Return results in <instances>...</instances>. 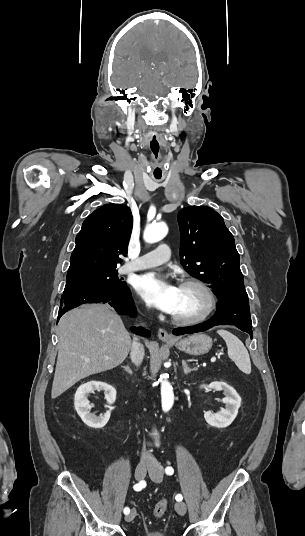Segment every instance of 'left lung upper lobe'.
<instances>
[{"mask_svg":"<svg viewBox=\"0 0 305 536\" xmlns=\"http://www.w3.org/2000/svg\"><path fill=\"white\" fill-rule=\"evenodd\" d=\"M180 261L192 276L210 284L219 300L248 298L234 237L223 218L206 206L178 213Z\"/></svg>","mask_w":305,"mask_h":536,"instance_id":"obj_1","label":"left lung upper lobe"}]
</instances>
